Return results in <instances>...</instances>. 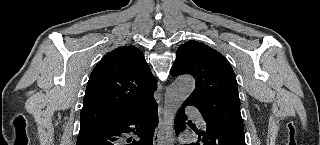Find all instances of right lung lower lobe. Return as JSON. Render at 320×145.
I'll return each mask as SVG.
<instances>
[{"instance_id": "98d812e1", "label": "right lung lower lobe", "mask_w": 320, "mask_h": 145, "mask_svg": "<svg viewBox=\"0 0 320 145\" xmlns=\"http://www.w3.org/2000/svg\"><path fill=\"white\" fill-rule=\"evenodd\" d=\"M157 112L155 101L129 119L80 127L77 145H152L153 134L158 124ZM131 131L139 137L138 141L124 138V133Z\"/></svg>"}]
</instances>
